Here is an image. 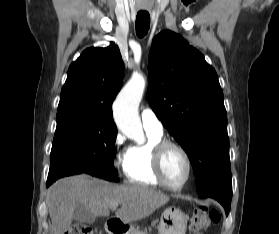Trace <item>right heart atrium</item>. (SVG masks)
Listing matches in <instances>:
<instances>
[{
  "mask_svg": "<svg viewBox=\"0 0 279 234\" xmlns=\"http://www.w3.org/2000/svg\"><path fill=\"white\" fill-rule=\"evenodd\" d=\"M124 143H125V139H124L123 135L120 133L116 134V136L114 138V142H113L114 148L120 150L123 148ZM121 156H120L119 160L117 161V166L121 163Z\"/></svg>",
  "mask_w": 279,
  "mask_h": 234,
  "instance_id": "d8ad5b80",
  "label": "right heart atrium"
}]
</instances>
